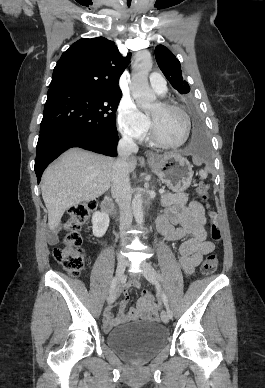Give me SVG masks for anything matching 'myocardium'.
<instances>
[{"instance_id":"f54148a6","label":"myocardium","mask_w":265,"mask_h":388,"mask_svg":"<svg viewBox=\"0 0 265 388\" xmlns=\"http://www.w3.org/2000/svg\"><path fill=\"white\" fill-rule=\"evenodd\" d=\"M156 91H157V94L160 91L164 92V90H156ZM160 105L164 109L174 110L182 116V118H183V133H182L181 139L178 142L172 143V142H168V141L164 140L158 132L155 119L152 117V136H153V139L157 144H159L160 146H162L164 148H178V147L182 146L189 138L190 118H189L188 114L181 107H179L173 103H161Z\"/></svg>"}]
</instances>
